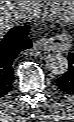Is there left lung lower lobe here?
I'll list each match as a JSON object with an SVG mask.
<instances>
[{"mask_svg":"<svg viewBox=\"0 0 74 122\" xmlns=\"http://www.w3.org/2000/svg\"><path fill=\"white\" fill-rule=\"evenodd\" d=\"M68 71L56 80V86L59 92L74 96V53L68 56Z\"/></svg>","mask_w":74,"mask_h":122,"instance_id":"0a47b994","label":"left lung lower lobe"}]
</instances>
